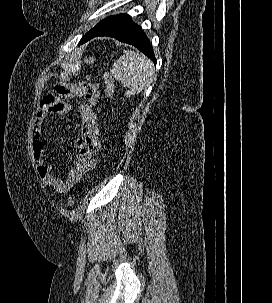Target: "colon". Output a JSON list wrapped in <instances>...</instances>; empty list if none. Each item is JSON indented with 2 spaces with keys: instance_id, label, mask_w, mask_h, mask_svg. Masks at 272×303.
<instances>
[{
  "instance_id": "colon-1",
  "label": "colon",
  "mask_w": 272,
  "mask_h": 303,
  "mask_svg": "<svg viewBox=\"0 0 272 303\" xmlns=\"http://www.w3.org/2000/svg\"><path fill=\"white\" fill-rule=\"evenodd\" d=\"M88 61H91V59H87ZM104 82H105V93L104 97L106 100H109L113 96L114 92V79L111 75V73L106 72L104 75ZM66 204L68 207H72L74 204V199L70 196L66 200Z\"/></svg>"
}]
</instances>
